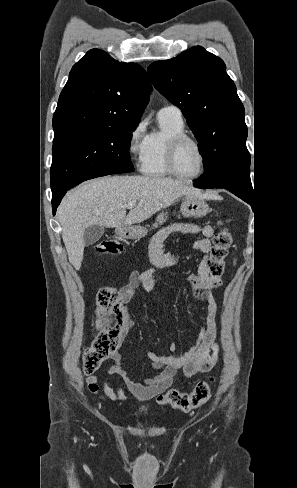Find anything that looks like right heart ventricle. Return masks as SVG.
Instances as JSON below:
<instances>
[{"label": "right heart ventricle", "mask_w": 297, "mask_h": 488, "mask_svg": "<svg viewBox=\"0 0 297 488\" xmlns=\"http://www.w3.org/2000/svg\"><path fill=\"white\" fill-rule=\"evenodd\" d=\"M158 122L159 129L147 135L140 170L150 176L165 177L170 175L165 163L167 144L172 137L185 133V124L183 120L160 116Z\"/></svg>", "instance_id": "e07e8e85"}]
</instances>
